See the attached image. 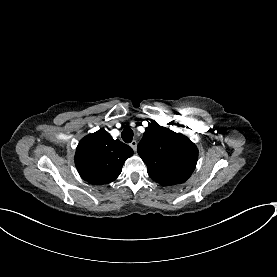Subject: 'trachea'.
Listing matches in <instances>:
<instances>
[{
	"mask_svg": "<svg viewBox=\"0 0 277 277\" xmlns=\"http://www.w3.org/2000/svg\"><path fill=\"white\" fill-rule=\"evenodd\" d=\"M134 133L130 128H125L121 133V138L125 143H130L133 140Z\"/></svg>",
	"mask_w": 277,
	"mask_h": 277,
	"instance_id": "obj_1",
	"label": "trachea"
}]
</instances>
